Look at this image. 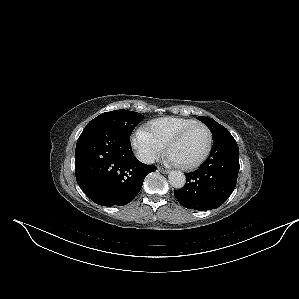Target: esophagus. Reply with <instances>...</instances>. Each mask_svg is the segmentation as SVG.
Wrapping results in <instances>:
<instances>
[{
	"mask_svg": "<svg viewBox=\"0 0 299 299\" xmlns=\"http://www.w3.org/2000/svg\"><path fill=\"white\" fill-rule=\"evenodd\" d=\"M158 170H159L161 173H163V174H167V173H169V170L164 169V168H162V167H158Z\"/></svg>",
	"mask_w": 299,
	"mask_h": 299,
	"instance_id": "34e87169",
	"label": "esophagus"
}]
</instances>
